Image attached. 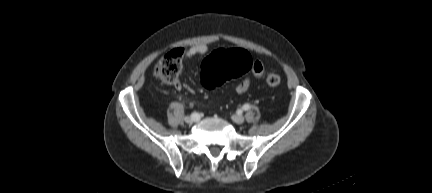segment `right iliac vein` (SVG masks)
Wrapping results in <instances>:
<instances>
[{"label":"right iliac vein","mask_w":432,"mask_h":193,"mask_svg":"<svg viewBox=\"0 0 432 193\" xmlns=\"http://www.w3.org/2000/svg\"><path fill=\"white\" fill-rule=\"evenodd\" d=\"M199 120V115L197 114L195 117H192V116H187V117H185V121L187 122V123H189V124H191V123H193V122H196V121H198Z\"/></svg>","instance_id":"obj_1"}]
</instances>
